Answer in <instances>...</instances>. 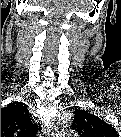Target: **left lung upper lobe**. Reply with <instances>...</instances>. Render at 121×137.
I'll return each mask as SVG.
<instances>
[{"label":"left lung upper lobe","instance_id":"1","mask_svg":"<svg viewBox=\"0 0 121 137\" xmlns=\"http://www.w3.org/2000/svg\"><path fill=\"white\" fill-rule=\"evenodd\" d=\"M73 124L70 126L80 135L90 134L96 137H116V130L99 117L84 110H76Z\"/></svg>","mask_w":121,"mask_h":137}]
</instances>
